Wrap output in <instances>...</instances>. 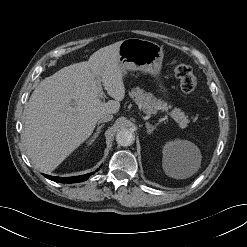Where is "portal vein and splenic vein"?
<instances>
[{
    "instance_id": "portal-vein-and-splenic-vein-1",
    "label": "portal vein and splenic vein",
    "mask_w": 247,
    "mask_h": 247,
    "mask_svg": "<svg viewBox=\"0 0 247 247\" xmlns=\"http://www.w3.org/2000/svg\"><path fill=\"white\" fill-rule=\"evenodd\" d=\"M98 95L100 98H104V92L101 85H98ZM167 115L176 120L174 113L168 112Z\"/></svg>"
}]
</instances>
